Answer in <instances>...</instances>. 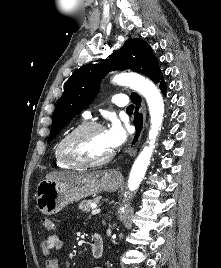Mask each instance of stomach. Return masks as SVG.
Wrapping results in <instances>:
<instances>
[{"label":"stomach","mask_w":221,"mask_h":268,"mask_svg":"<svg viewBox=\"0 0 221 268\" xmlns=\"http://www.w3.org/2000/svg\"><path fill=\"white\" fill-rule=\"evenodd\" d=\"M120 183L121 177L110 171L99 178L78 182L44 180L36 187V206L41 213L54 215L74 201L94 196L100 191H116Z\"/></svg>","instance_id":"stomach-1"}]
</instances>
